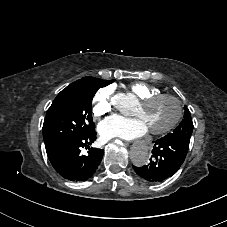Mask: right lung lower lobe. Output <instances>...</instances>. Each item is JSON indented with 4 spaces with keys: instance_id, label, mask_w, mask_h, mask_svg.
I'll return each mask as SVG.
<instances>
[{
    "instance_id": "obj_1",
    "label": "right lung lower lobe",
    "mask_w": 227,
    "mask_h": 227,
    "mask_svg": "<svg viewBox=\"0 0 227 227\" xmlns=\"http://www.w3.org/2000/svg\"><path fill=\"white\" fill-rule=\"evenodd\" d=\"M96 139L95 129L78 137H71L46 148L48 158L55 170L64 178L71 181H85L98 168L104 150L90 148ZM86 147L88 154H81Z\"/></svg>"
}]
</instances>
